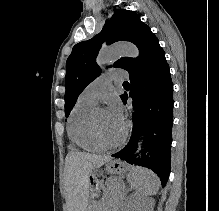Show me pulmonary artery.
<instances>
[{"label": "pulmonary artery", "mask_w": 219, "mask_h": 211, "mask_svg": "<svg viewBox=\"0 0 219 211\" xmlns=\"http://www.w3.org/2000/svg\"><path fill=\"white\" fill-rule=\"evenodd\" d=\"M110 74H124V69H110ZM109 73L102 74L91 83H89L79 95V99L97 103L99 96L105 91L111 80H129V75H110Z\"/></svg>", "instance_id": "obj_1"}]
</instances>
